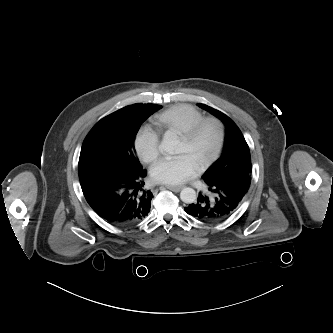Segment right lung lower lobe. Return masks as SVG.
Returning a JSON list of instances; mask_svg holds the SVG:
<instances>
[{
    "label": "right lung lower lobe",
    "mask_w": 333,
    "mask_h": 333,
    "mask_svg": "<svg viewBox=\"0 0 333 333\" xmlns=\"http://www.w3.org/2000/svg\"><path fill=\"white\" fill-rule=\"evenodd\" d=\"M146 174L90 167L79 171V180L85 199L100 217L126 226L140 222L150 211L153 194L142 188Z\"/></svg>",
    "instance_id": "obj_1"
}]
</instances>
